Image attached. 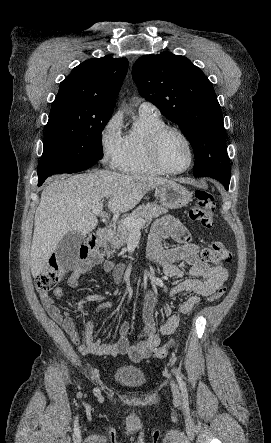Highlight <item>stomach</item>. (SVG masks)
Masks as SVG:
<instances>
[{
  "label": "stomach",
  "mask_w": 271,
  "mask_h": 443,
  "mask_svg": "<svg viewBox=\"0 0 271 443\" xmlns=\"http://www.w3.org/2000/svg\"><path fill=\"white\" fill-rule=\"evenodd\" d=\"M159 198L161 206H165V208H183L192 202V194L175 182L163 184L160 188Z\"/></svg>",
  "instance_id": "stomach-1"
}]
</instances>
